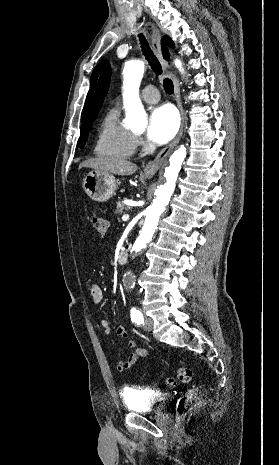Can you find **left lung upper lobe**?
<instances>
[{"label":"left lung upper lobe","mask_w":279,"mask_h":465,"mask_svg":"<svg viewBox=\"0 0 279 465\" xmlns=\"http://www.w3.org/2000/svg\"><path fill=\"white\" fill-rule=\"evenodd\" d=\"M165 41L169 46H171V47L174 46L172 40L168 36H165ZM101 66H102V64L98 65L94 69V71L92 73L91 80H90V90H89L87 98H86L85 106H84V109H83V112H82V118L84 117V115H85V113L87 111V108H88V105H89L93 90L95 88L96 80H97V77H98L100 69H101Z\"/></svg>","instance_id":"1"}]
</instances>
